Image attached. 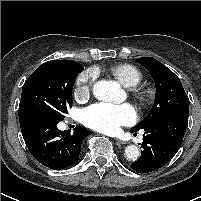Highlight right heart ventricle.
Listing matches in <instances>:
<instances>
[{
	"mask_svg": "<svg viewBox=\"0 0 201 201\" xmlns=\"http://www.w3.org/2000/svg\"><path fill=\"white\" fill-rule=\"evenodd\" d=\"M108 72L125 87H135L143 78L142 72L136 66L127 63L113 65Z\"/></svg>",
	"mask_w": 201,
	"mask_h": 201,
	"instance_id": "obj_1",
	"label": "right heart ventricle"
}]
</instances>
